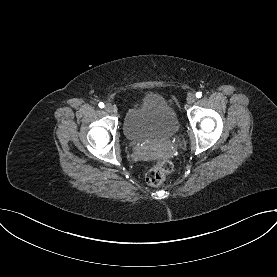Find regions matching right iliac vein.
Listing matches in <instances>:
<instances>
[{"mask_svg": "<svg viewBox=\"0 0 277 277\" xmlns=\"http://www.w3.org/2000/svg\"><path fill=\"white\" fill-rule=\"evenodd\" d=\"M105 111L108 113H112L114 111V107L111 104H106Z\"/></svg>", "mask_w": 277, "mask_h": 277, "instance_id": "1", "label": "right iliac vein"}]
</instances>
